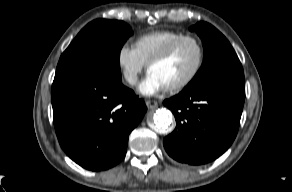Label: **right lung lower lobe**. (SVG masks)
<instances>
[{"label": "right lung lower lobe", "instance_id": "obj_1", "mask_svg": "<svg viewBox=\"0 0 292 192\" xmlns=\"http://www.w3.org/2000/svg\"><path fill=\"white\" fill-rule=\"evenodd\" d=\"M51 100L62 149L92 171L109 169L123 160L129 134L147 110L121 81L78 68L56 69Z\"/></svg>", "mask_w": 292, "mask_h": 192}]
</instances>
